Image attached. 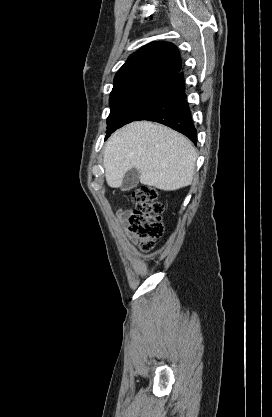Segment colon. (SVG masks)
Returning <instances> with one entry per match:
<instances>
[{
  "instance_id": "1",
  "label": "colon",
  "mask_w": 272,
  "mask_h": 417,
  "mask_svg": "<svg viewBox=\"0 0 272 417\" xmlns=\"http://www.w3.org/2000/svg\"><path fill=\"white\" fill-rule=\"evenodd\" d=\"M135 209L129 216V230L141 241L144 250H148L164 231L161 214L164 207L157 201L156 188L141 185L132 191Z\"/></svg>"
}]
</instances>
